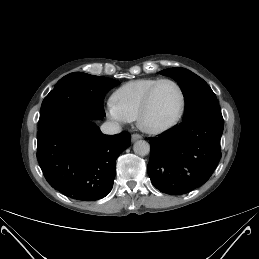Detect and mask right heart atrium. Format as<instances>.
I'll use <instances>...</instances> for the list:
<instances>
[{"label": "right heart atrium", "mask_w": 259, "mask_h": 259, "mask_svg": "<svg viewBox=\"0 0 259 259\" xmlns=\"http://www.w3.org/2000/svg\"><path fill=\"white\" fill-rule=\"evenodd\" d=\"M108 116L117 122H126V118L121 114L113 100L108 101L106 106Z\"/></svg>", "instance_id": "right-heart-atrium-1"}]
</instances>
